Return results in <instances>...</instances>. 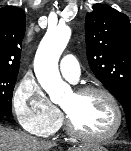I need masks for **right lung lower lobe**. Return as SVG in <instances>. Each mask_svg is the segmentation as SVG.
<instances>
[{"label":"right lung lower lobe","instance_id":"1","mask_svg":"<svg viewBox=\"0 0 131 151\" xmlns=\"http://www.w3.org/2000/svg\"><path fill=\"white\" fill-rule=\"evenodd\" d=\"M1 117H4V115H0V118H1Z\"/></svg>","mask_w":131,"mask_h":151}]
</instances>
